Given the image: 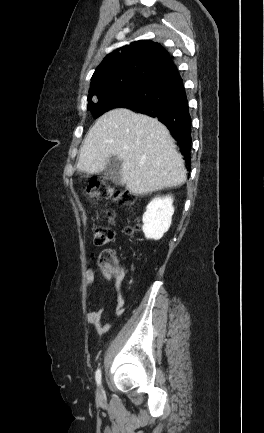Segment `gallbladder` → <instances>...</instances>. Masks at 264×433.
Listing matches in <instances>:
<instances>
[{
  "label": "gallbladder",
  "mask_w": 264,
  "mask_h": 433,
  "mask_svg": "<svg viewBox=\"0 0 264 433\" xmlns=\"http://www.w3.org/2000/svg\"><path fill=\"white\" fill-rule=\"evenodd\" d=\"M103 179L111 180L115 184L120 183V166L118 157H111L106 163Z\"/></svg>",
  "instance_id": "1"
}]
</instances>
